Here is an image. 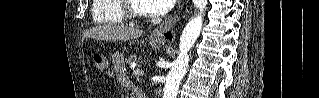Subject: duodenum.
<instances>
[{
    "mask_svg": "<svg viewBox=\"0 0 319 98\" xmlns=\"http://www.w3.org/2000/svg\"><path fill=\"white\" fill-rule=\"evenodd\" d=\"M134 92L137 98H146V95H144L139 89H134Z\"/></svg>",
    "mask_w": 319,
    "mask_h": 98,
    "instance_id": "1",
    "label": "duodenum"
}]
</instances>
